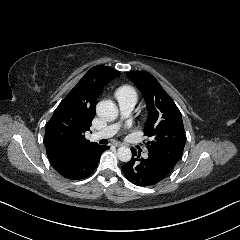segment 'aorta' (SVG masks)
Returning a JSON list of instances; mask_svg holds the SVG:
<instances>
[{
    "label": "aorta",
    "instance_id": "762f6f07",
    "mask_svg": "<svg viewBox=\"0 0 240 240\" xmlns=\"http://www.w3.org/2000/svg\"><path fill=\"white\" fill-rule=\"evenodd\" d=\"M97 115L107 122L114 121L118 117V107L111 100L100 101L96 105ZM118 159L122 162L130 161L132 153L130 148L121 146L117 150Z\"/></svg>",
    "mask_w": 240,
    "mask_h": 240
}]
</instances>
